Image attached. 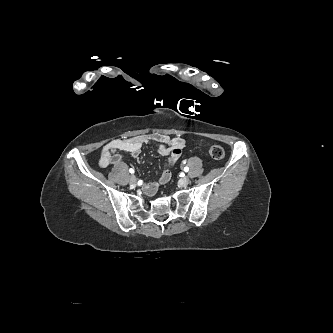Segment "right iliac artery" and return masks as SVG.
<instances>
[{
	"label": "right iliac artery",
	"instance_id": "right-iliac-artery-1",
	"mask_svg": "<svg viewBox=\"0 0 333 333\" xmlns=\"http://www.w3.org/2000/svg\"><path fill=\"white\" fill-rule=\"evenodd\" d=\"M129 172L133 174L135 171H134V169L130 168Z\"/></svg>",
	"mask_w": 333,
	"mask_h": 333
}]
</instances>
